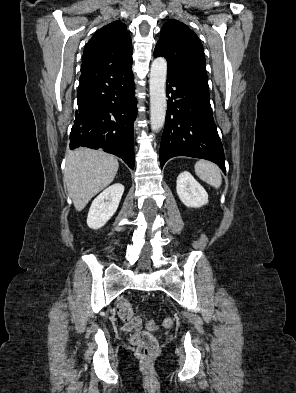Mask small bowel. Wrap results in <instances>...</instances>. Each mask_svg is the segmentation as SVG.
Returning a JSON list of instances; mask_svg holds the SVG:
<instances>
[{"label":"small bowel","mask_w":296,"mask_h":393,"mask_svg":"<svg viewBox=\"0 0 296 393\" xmlns=\"http://www.w3.org/2000/svg\"><path fill=\"white\" fill-rule=\"evenodd\" d=\"M139 327H140L139 319L133 316L131 319L125 320V323L123 324L122 328L125 331H132V330L139 329Z\"/></svg>","instance_id":"c3829d8e"}]
</instances>
